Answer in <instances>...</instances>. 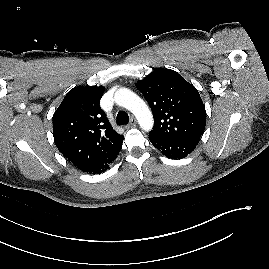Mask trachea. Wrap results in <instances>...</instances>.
Masks as SVG:
<instances>
[{"mask_svg":"<svg viewBox=\"0 0 269 269\" xmlns=\"http://www.w3.org/2000/svg\"><path fill=\"white\" fill-rule=\"evenodd\" d=\"M117 125H125L129 123V116L125 111H119L116 118Z\"/></svg>","mask_w":269,"mask_h":269,"instance_id":"1","label":"trachea"}]
</instances>
